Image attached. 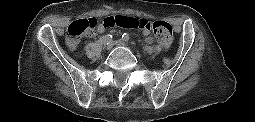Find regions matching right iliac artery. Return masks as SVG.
Masks as SVG:
<instances>
[{
  "label": "right iliac artery",
  "mask_w": 255,
  "mask_h": 122,
  "mask_svg": "<svg viewBox=\"0 0 255 122\" xmlns=\"http://www.w3.org/2000/svg\"><path fill=\"white\" fill-rule=\"evenodd\" d=\"M113 36L111 34H108L103 37V43L108 45L111 43Z\"/></svg>",
  "instance_id": "1"
}]
</instances>
